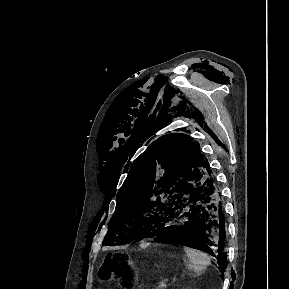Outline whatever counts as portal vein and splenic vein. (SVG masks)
Instances as JSON below:
<instances>
[{
    "label": "portal vein and splenic vein",
    "mask_w": 289,
    "mask_h": 289,
    "mask_svg": "<svg viewBox=\"0 0 289 289\" xmlns=\"http://www.w3.org/2000/svg\"><path fill=\"white\" fill-rule=\"evenodd\" d=\"M167 282L166 281H161V282H159V287L161 288V289H164V288H166L167 287Z\"/></svg>",
    "instance_id": "portal-vein-and-splenic-vein-1"
}]
</instances>
